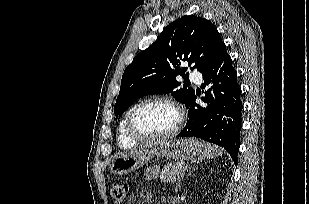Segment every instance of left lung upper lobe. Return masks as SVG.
Listing matches in <instances>:
<instances>
[{
    "instance_id": "obj_1",
    "label": "left lung upper lobe",
    "mask_w": 309,
    "mask_h": 204,
    "mask_svg": "<svg viewBox=\"0 0 309 204\" xmlns=\"http://www.w3.org/2000/svg\"><path fill=\"white\" fill-rule=\"evenodd\" d=\"M225 46L216 27L194 15L170 23L150 47L139 53L124 71L121 88L114 105L115 115L122 113L137 99L149 94H169L189 106L195 91L176 81L184 76V62L201 73L216 60Z\"/></svg>"
}]
</instances>
